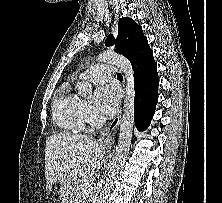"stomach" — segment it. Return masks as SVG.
Masks as SVG:
<instances>
[{"label":"stomach","mask_w":222,"mask_h":203,"mask_svg":"<svg viewBox=\"0 0 222 203\" xmlns=\"http://www.w3.org/2000/svg\"><path fill=\"white\" fill-rule=\"evenodd\" d=\"M65 201L64 203H71V199H69L68 197H64Z\"/></svg>","instance_id":"1"}]
</instances>
